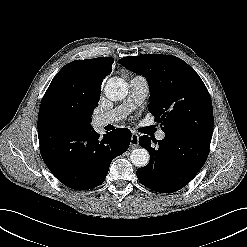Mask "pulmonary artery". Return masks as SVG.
Instances as JSON below:
<instances>
[{
  "label": "pulmonary artery",
  "mask_w": 247,
  "mask_h": 247,
  "mask_svg": "<svg viewBox=\"0 0 247 247\" xmlns=\"http://www.w3.org/2000/svg\"><path fill=\"white\" fill-rule=\"evenodd\" d=\"M148 90L147 80L143 76H134L129 82V94L127 99L117 108L97 115L93 119V124L96 128H101L108 124H112L123 119L133 109L137 108L145 99ZM158 140L165 137L163 131L156 134Z\"/></svg>",
  "instance_id": "pulmonary-artery-1"
}]
</instances>
